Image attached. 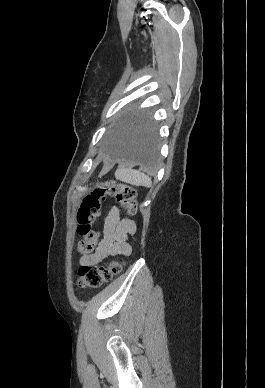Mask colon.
I'll return each mask as SVG.
<instances>
[{
  "mask_svg": "<svg viewBox=\"0 0 265 388\" xmlns=\"http://www.w3.org/2000/svg\"><path fill=\"white\" fill-rule=\"evenodd\" d=\"M107 196L116 198L122 210L127 215L135 212L136 191L132 186L122 183H103L97 185L83 197L77 213V233L81 237L77 251L81 255L92 253L98 233L93 229V224L100 215L101 203ZM124 261H111L102 266L85 265L78 271L77 283L83 288H98L109 282L114 275L119 273Z\"/></svg>",
  "mask_w": 265,
  "mask_h": 388,
  "instance_id": "obj_1",
  "label": "colon"
}]
</instances>
